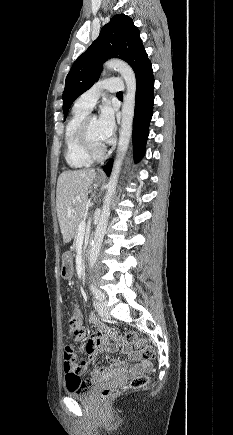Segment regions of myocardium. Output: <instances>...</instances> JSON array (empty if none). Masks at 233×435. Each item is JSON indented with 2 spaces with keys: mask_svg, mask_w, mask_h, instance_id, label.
<instances>
[{
  "mask_svg": "<svg viewBox=\"0 0 233 435\" xmlns=\"http://www.w3.org/2000/svg\"><path fill=\"white\" fill-rule=\"evenodd\" d=\"M91 117H85V119L82 121L81 126L79 128V141L81 148L85 155L91 159L92 161H99L104 159L108 154V147L105 146L101 150H96L91 142L89 137V123H90Z\"/></svg>",
  "mask_w": 233,
  "mask_h": 435,
  "instance_id": "obj_1",
  "label": "myocardium"
}]
</instances>
